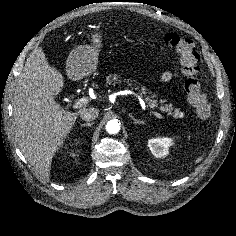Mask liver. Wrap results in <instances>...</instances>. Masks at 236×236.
I'll use <instances>...</instances> for the list:
<instances>
[{"mask_svg":"<svg viewBox=\"0 0 236 236\" xmlns=\"http://www.w3.org/2000/svg\"><path fill=\"white\" fill-rule=\"evenodd\" d=\"M63 85L62 74L49 65L42 48L33 49L13 97L14 133L27 161L45 179L50 176L53 156L80 113L56 103Z\"/></svg>","mask_w":236,"mask_h":236,"instance_id":"1","label":"liver"}]
</instances>
